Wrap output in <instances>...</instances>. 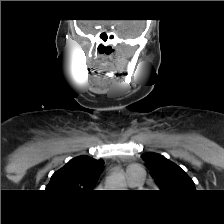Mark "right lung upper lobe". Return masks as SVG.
<instances>
[{
	"label": "right lung upper lobe",
	"mask_w": 224,
	"mask_h": 224,
	"mask_svg": "<svg viewBox=\"0 0 224 224\" xmlns=\"http://www.w3.org/2000/svg\"><path fill=\"white\" fill-rule=\"evenodd\" d=\"M104 161L82 155L56 171L46 187L56 192L92 191L102 172Z\"/></svg>",
	"instance_id": "right-lung-upper-lobe-1"
}]
</instances>
